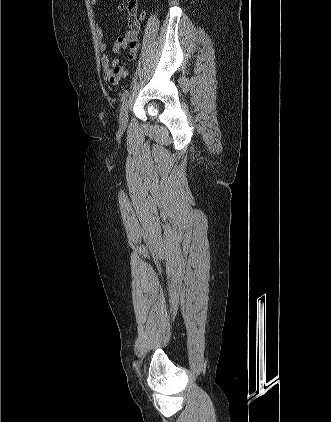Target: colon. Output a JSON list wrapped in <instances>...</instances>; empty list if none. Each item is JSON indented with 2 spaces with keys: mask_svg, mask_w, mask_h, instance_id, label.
Listing matches in <instances>:
<instances>
[{
  "mask_svg": "<svg viewBox=\"0 0 331 422\" xmlns=\"http://www.w3.org/2000/svg\"><path fill=\"white\" fill-rule=\"evenodd\" d=\"M122 7L127 8L129 12V18L132 22L137 21L138 13L136 9V1L135 0H127V3H123Z\"/></svg>",
  "mask_w": 331,
  "mask_h": 422,
  "instance_id": "colon-1",
  "label": "colon"
}]
</instances>
